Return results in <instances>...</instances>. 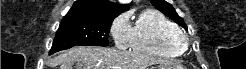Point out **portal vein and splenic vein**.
I'll return each mask as SVG.
<instances>
[{
	"mask_svg": "<svg viewBox=\"0 0 246 69\" xmlns=\"http://www.w3.org/2000/svg\"><path fill=\"white\" fill-rule=\"evenodd\" d=\"M114 69H119V67H114Z\"/></svg>",
	"mask_w": 246,
	"mask_h": 69,
	"instance_id": "obj_1",
	"label": "portal vein and splenic vein"
}]
</instances>
